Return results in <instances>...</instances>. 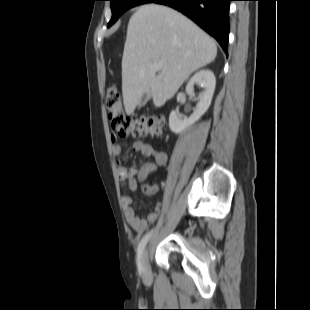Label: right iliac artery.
Wrapping results in <instances>:
<instances>
[{"label": "right iliac artery", "mask_w": 310, "mask_h": 310, "mask_svg": "<svg viewBox=\"0 0 310 310\" xmlns=\"http://www.w3.org/2000/svg\"><path fill=\"white\" fill-rule=\"evenodd\" d=\"M151 234H152V231L147 233V234H145L143 236V238L141 239V241L139 242V244H138L137 259H136V261H137V267H138V270H139L140 273H141V269H142V263H141L142 254H143L144 248H145V246H146V244H147Z\"/></svg>", "instance_id": "82829eb1"}]
</instances>
